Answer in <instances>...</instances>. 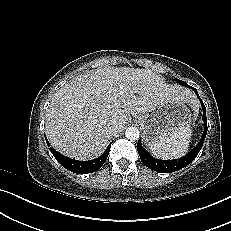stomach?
<instances>
[{"label": "stomach", "instance_id": "1", "mask_svg": "<svg viewBox=\"0 0 231 231\" xmlns=\"http://www.w3.org/2000/svg\"><path fill=\"white\" fill-rule=\"evenodd\" d=\"M190 120V110L180 100H164L137 116L148 146L170 136L179 127L188 125Z\"/></svg>", "mask_w": 231, "mask_h": 231}]
</instances>
